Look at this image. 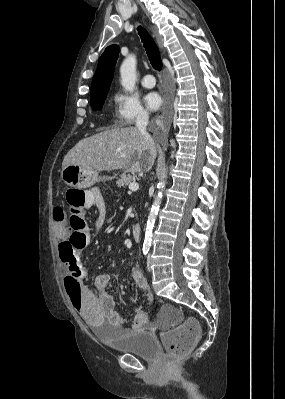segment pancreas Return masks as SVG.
Returning <instances> with one entry per match:
<instances>
[{
	"label": "pancreas",
	"instance_id": "obj_1",
	"mask_svg": "<svg viewBox=\"0 0 285 399\" xmlns=\"http://www.w3.org/2000/svg\"><path fill=\"white\" fill-rule=\"evenodd\" d=\"M133 180V177L130 174L123 173L120 175V177L117 179V186L118 187H126L129 185Z\"/></svg>",
	"mask_w": 285,
	"mask_h": 399
}]
</instances>
